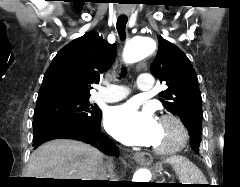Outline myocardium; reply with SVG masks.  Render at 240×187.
Listing matches in <instances>:
<instances>
[{"label":"myocardium","mask_w":240,"mask_h":187,"mask_svg":"<svg viewBox=\"0 0 240 187\" xmlns=\"http://www.w3.org/2000/svg\"><path fill=\"white\" fill-rule=\"evenodd\" d=\"M159 122L161 124L172 125L176 135L174 141L170 144L160 147H153V153L158 155H169L180 151L186 146L189 140V133L184 122L177 115L172 113L163 114L160 117Z\"/></svg>","instance_id":"myocardium-1"}]
</instances>
